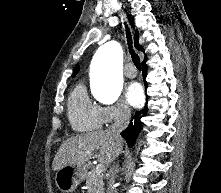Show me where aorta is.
Masks as SVG:
<instances>
[{
  "label": "aorta",
  "mask_w": 221,
  "mask_h": 193,
  "mask_svg": "<svg viewBox=\"0 0 221 193\" xmlns=\"http://www.w3.org/2000/svg\"><path fill=\"white\" fill-rule=\"evenodd\" d=\"M123 52L116 42L102 45L93 58V95L102 103H114L122 91Z\"/></svg>",
  "instance_id": "obj_1"
}]
</instances>
